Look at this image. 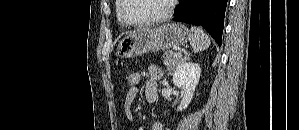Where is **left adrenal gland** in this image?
<instances>
[{"label": "left adrenal gland", "instance_id": "left-adrenal-gland-1", "mask_svg": "<svg viewBox=\"0 0 299 130\" xmlns=\"http://www.w3.org/2000/svg\"><path fill=\"white\" fill-rule=\"evenodd\" d=\"M189 59V54L185 55L183 60H188Z\"/></svg>", "mask_w": 299, "mask_h": 130}]
</instances>
